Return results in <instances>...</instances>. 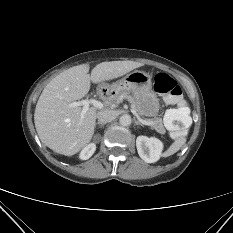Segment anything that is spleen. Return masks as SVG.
<instances>
[{
  "label": "spleen",
  "instance_id": "obj_1",
  "mask_svg": "<svg viewBox=\"0 0 233 233\" xmlns=\"http://www.w3.org/2000/svg\"><path fill=\"white\" fill-rule=\"evenodd\" d=\"M173 120L182 121L186 127H189L192 123V118L190 117V109L186 107L179 109H168L164 115V121L166 123H172ZM185 141V137L178 138L164 153V156L167 157L176 153L182 147Z\"/></svg>",
  "mask_w": 233,
  "mask_h": 233
}]
</instances>
